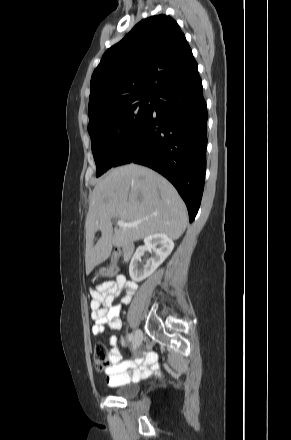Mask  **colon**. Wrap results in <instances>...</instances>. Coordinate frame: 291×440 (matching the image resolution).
<instances>
[{"instance_id": "obj_1", "label": "colon", "mask_w": 291, "mask_h": 440, "mask_svg": "<svg viewBox=\"0 0 291 440\" xmlns=\"http://www.w3.org/2000/svg\"><path fill=\"white\" fill-rule=\"evenodd\" d=\"M118 259V257H116ZM117 272V265L113 264L109 267L100 269L96 274V279H108L113 277ZM92 357L94 365L99 370H105L109 363V352L107 347L102 343H96L93 347Z\"/></svg>"}]
</instances>
